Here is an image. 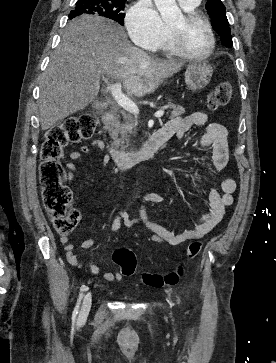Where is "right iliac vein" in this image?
<instances>
[{
	"mask_svg": "<svg viewBox=\"0 0 276 363\" xmlns=\"http://www.w3.org/2000/svg\"><path fill=\"white\" fill-rule=\"evenodd\" d=\"M92 303V294L88 292L83 299L82 306L79 312V319H84L87 317Z\"/></svg>",
	"mask_w": 276,
	"mask_h": 363,
	"instance_id": "63e3f726",
	"label": "right iliac vein"
}]
</instances>
